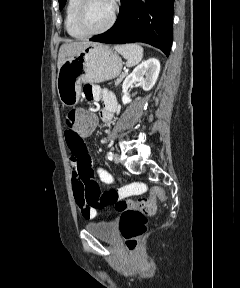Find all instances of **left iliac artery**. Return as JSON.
Listing matches in <instances>:
<instances>
[{
    "label": "left iliac artery",
    "mask_w": 240,
    "mask_h": 288,
    "mask_svg": "<svg viewBox=\"0 0 240 288\" xmlns=\"http://www.w3.org/2000/svg\"><path fill=\"white\" fill-rule=\"evenodd\" d=\"M107 158H108L109 160H112V159H113V153H112L111 151H109V152L107 153Z\"/></svg>",
    "instance_id": "left-iliac-artery-1"
}]
</instances>
